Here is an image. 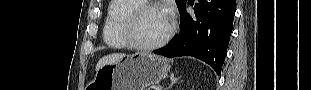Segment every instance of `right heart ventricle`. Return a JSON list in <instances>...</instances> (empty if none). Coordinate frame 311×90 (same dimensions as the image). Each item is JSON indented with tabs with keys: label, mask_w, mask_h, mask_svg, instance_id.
<instances>
[{
	"label": "right heart ventricle",
	"mask_w": 311,
	"mask_h": 90,
	"mask_svg": "<svg viewBox=\"0 0 311 90\" xmlns=\"http://www.w3.org/2000/svg\"><path fill=\"white\" fill-rule=\"evenodd\" d=\"M141 4H144V2L139 0L111 1L103 26V39L107 46L115 49L129 47L123 33L124 20L131 10Z\"/></svg>",
	"instance_id": "right-heart-ventricle-1"
}]
</instances>
